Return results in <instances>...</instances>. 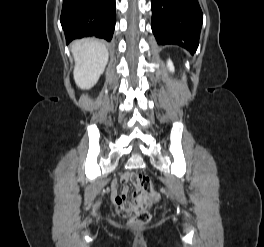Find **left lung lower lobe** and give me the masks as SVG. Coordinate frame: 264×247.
Masks as SVG:
<instances>
[{
  "label": "left lung lower lobe",
  "mask_w": 264,
  "mask_h": 247,
  "mask_svg": "<svg viewBox=\"0 0 264 247\" xmlns=\"http://www.w3.org/2000/svg\"><path fill=\"white\" fill-rule=\"evenodd\" d=\"M152 31L160 45H179L192 54L199 44L203 14L198 0H151Z\"/></svg>",
  "instance_id": "left-lung-lower-lobe-1"
}]
</instances>
